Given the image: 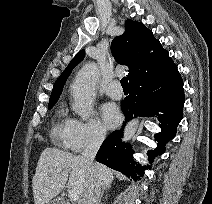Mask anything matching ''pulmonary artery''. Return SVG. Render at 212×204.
Wrapping results in <instances>:
<instances>
[{"label":"pulmonary artery","mask_w":212,"mask_h":204,"mask_svg":"<svg viewBox=\"0 0 212 204\" xmlns=\"http://www.w3.org/2000/svg\"><path fill=\"white\" fill-rule=\"evenodd\" d=\"M105 93L112 99H120L123 95L122 88L118 81H112L105 89Z\"/></svg>","instance_id":"1"}]
</instances>
